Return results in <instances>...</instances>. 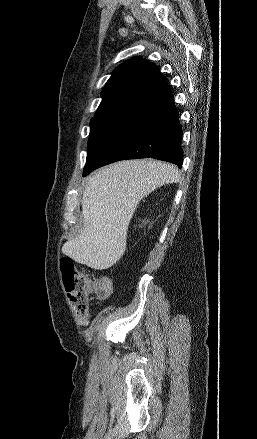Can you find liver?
<instances>
[{"instance_id":"liver-1","label":"liver","mask_w":257,"mask_h":439,"mask_svg":"<svg viewBox=\"0 0 257 439\" xmlns=\"http://www.w3.org/2000/svg\"><path fill=\"white\" fill-rule=\"evenodd\" d=\"M178 180L175 166L155 160L121 161L96 171L83 193V229L63 245V254L96 270L110 268L125 252L128 226L139 202Z\"/></svg>"}]
</instances>
